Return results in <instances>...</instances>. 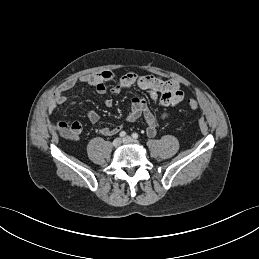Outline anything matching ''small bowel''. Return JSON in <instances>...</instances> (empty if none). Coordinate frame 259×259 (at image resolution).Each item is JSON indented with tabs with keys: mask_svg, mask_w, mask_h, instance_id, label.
Returning a JSON list of instances; mask_svg holds the SVG:
<instances>
[{
	"mask_svg": "<svg viewBox=\"0 0 259 259\" xmlns=\"http://www.w3.org/2000/svg\"><path fill=\"white\" fill-rule=\"evenodd\" d=\"M117 82L110 88L107 83L115 80ZM78 85H88L94 87L100 94H109L115 96L122 90L137 86L140 89L149 93L154 102L158 103L162 108H168L179 104L184 99V92L181 90L179 83L173 79H164L161 76H139L135 71H128L120 77H117L112 70H103L100 72L79 76L70 77L56 91L55 98L47 106V113H51L56 108L64 106L67 103L65 96L66 92ZM75 105V102H71ZM105 105L111 107L113 100L107 98ZM170 115L168 110H164L158 114L153 113L147 106L146 99L143 96L133 98L131 108L128 114L129 121H136L143 118L146 124V134L149 137H154L162 121ZM88 120L95 124L99 121L100 115L95 110H89L87 113ZM122 129V125L114 127H101L99 133L103 136H113L118 134Z\"/></svg>",
	"mask_w": 259,
	"mask_h": 259,
	"instance_id": "obj_1",
	"label": "small bowel"
}]
</instances>
